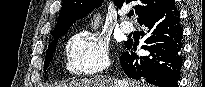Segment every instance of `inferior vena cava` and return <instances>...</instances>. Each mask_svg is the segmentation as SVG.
Returning a JSON list of instances; mask_svg holds the SVG:
<instances>
[{"label":"inferior vena cava","mask_w":205,"mask_h":87,"mask_svg":"<svg viewBox=\"0 0 205 87\" xmlns=\"http://www.w3.org/2000/svg\"><path fill=\"white\" fill-rule=\"evenodd\" d=\"M120 86H122L121 83H117V87H120Z\"/></svg>","instance_id":"obj_1"}]
</instances>
